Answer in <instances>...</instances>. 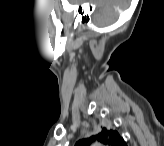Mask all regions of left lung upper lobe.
<instances>
[{"mask_svg": "<svg viewBox=\"0 0 164 146\" xmlns=\"http://www.w3.org/2000/svg\"><path fill=\"white\" fill-rule=\"evenodd\" d=\"M98 139L100 142L104 144H109L111 146H126L124 139L120 136V134L115 130H107L105 128L102 131L89 139L79 140L75 146H88L93 140Z\"/></svg>", "mask_w": 164, "mask_h": 146, "instance_id": "1", "label": "left lung upper lobe"}]
</instances>
